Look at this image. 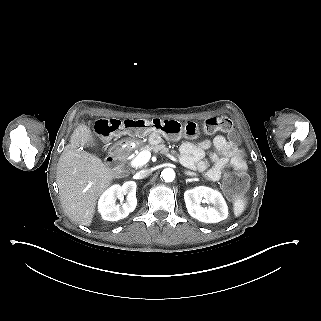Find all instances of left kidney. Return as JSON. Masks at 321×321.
<instances>
[{
	"instance_id": "1",
	"label": "left kidney",
	"mask_w": 321,
	"mask_h": 321,
	"mask_svg": "<svg viewBox=\"0 0 321 321\" xmlns=\"http://www.w3.org/2000/svg\"><path fill=\"white\" fill-rule=\"evenodd\" d=\"M213 206L204 208L202 199ZM186 208L190 216L204 223H218L228 217V206L222 194L206 186H198L184 193Z\"/></svg>"
}]
</instances>
